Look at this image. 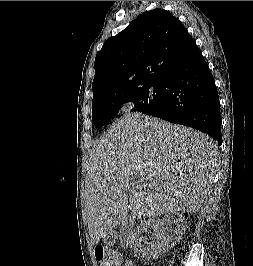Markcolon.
Wrapping results in <instances>:
<instances>
[{"instance_id": "colon-1", "label": "colon", "mask_w": 253, "mask_h": 266, "mask_svg": "<svg viewBox=\"0 0 253 266\" xmlns=\"http://www.w3.org/2000/svg\"><path fill=\"white\" fill-rule=\"evenodd\" d=\"M95 257L99 266H119L121 261L120 254L117 251L103 245L96 247Z\"/></svg>"}]
</instances>
